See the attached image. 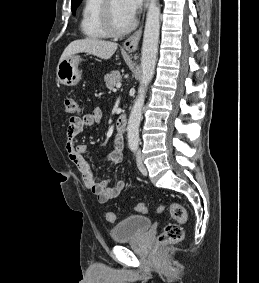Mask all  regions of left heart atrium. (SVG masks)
I'll return each mask as SVG.
<instances>
[{"label": "left heart atrium", "instance_id": "39dd6f15", "mask_svg": "<svg viewBox=\"0 0 259 283\" xmlns=\"http://www.w3.org/2000/svg\"><path fill=\"white\" fill-rule=\"evenodd\" d=\"M142 0H121L122 8L129 18L133 19Z\"/></svg>", "mask_w": 259, "mask_h": 283}]
</instances>
